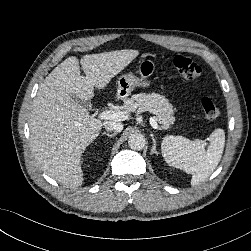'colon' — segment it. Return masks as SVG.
I'll return each instance as SVG.
<instances>
[{
  "label": "colon",
  "mask_w": 251,
  "mask_h": 251,
  "mask_svg": "<svg viewBox=\"0 0 251 251\" xmlns=\"http://www.w3.org/2000/svg\"><path fill=\"white\" fill-rule=\"evenodd\" d=\"M172 65L182 77L188 80H197L201 75V67L188 56H174ZM201 106L206 120L213 121L219 117L220 111L211 99L204 97Z\"/></svg>",
  "instance_id": "1"
}]
</instances>
